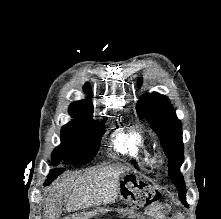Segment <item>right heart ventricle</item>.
<instances>
[{"label":"right heart ventricle","instance_id":"e07e8e85","mask_svg":"<svg viewBox=\"0 0 221 219\" xmlns=\"http://www.w3.org/2000/svg\"><path fill=\"white\" fill-rule=\"evenodd\" d=\"M114 146L119 153L129 156L141 167L150 166L154 160L148 137L139 126L116 135Z\"/></svg>","mask_w":221,"mask_h":219}]
</instances>
